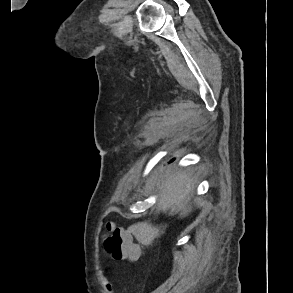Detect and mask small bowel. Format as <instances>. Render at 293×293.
<instances>
[{
    "instance_id": "obj_1",
    "label": "small bowel",
    "mask_w": 293,
    "mask_h": 293,
    "mask_svg": "<svg viewBox=\"0 0 293 293\" xmlns=\"http://www.w3.org/2000/svg\"><path fill=\"white\" fill-rule=\"evenodd\" d=\"M98 277L102 281V283L104 284L106 290L109 291L110 293H113L112 285L109 282V280L107 279V277L102 272L98 273Z\"/></svg>"
}]
</instances>
